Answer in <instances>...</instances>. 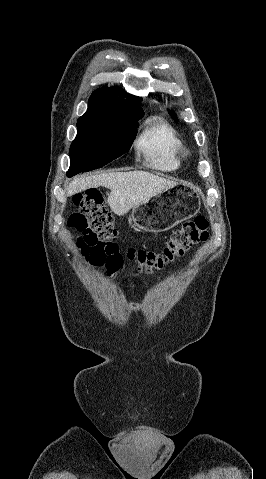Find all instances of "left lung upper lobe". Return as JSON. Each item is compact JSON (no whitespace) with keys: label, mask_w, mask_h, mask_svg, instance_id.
Wrapping results in <instances>:
<instances>
[{"label":"left lung upper lobe","mask_w":266,"mask_h":479,"mask_svg":"<svg viewBox=\"0 0 266 479\" xmlns=\"http://www.w3.org/2000/svg\"><path fill=\"white\" fill-rule=\"evenodd\" d=\"M171 115H172L173 118H175V115H174V114L171 113Z\"/></svg>","instance_id":"obj_1"}]
</instances>
